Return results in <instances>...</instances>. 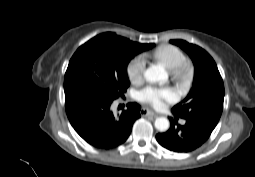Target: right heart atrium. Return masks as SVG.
I'll return each mask as SVG.
<instances>
[{
    "mask_svg": "<svg viewBox=\"0 0 255 177\" xmlns=\"http://www.w3.org/2000/svg\"><path fill=\"white\" fill-rule=\"evenodd\" d=\"M146 60L143 55L134 56L127 64V74L133 83H139L144 78Z\"/></svg>",
    "mask_w": 255,
    "mask_h": 177,
    "instance_id": "right-heart-atrium-1",
    "label": "right heart atrium"
}]
</instances>
